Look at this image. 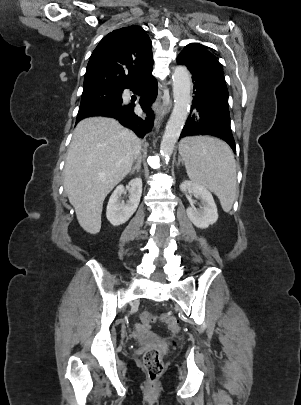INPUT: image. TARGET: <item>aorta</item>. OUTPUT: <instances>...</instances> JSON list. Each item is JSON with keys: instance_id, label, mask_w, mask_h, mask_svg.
<instances>
[{"instance_id": "1", "label": "aorta", "mask_w": 301, "mask_h": 405, "mask_svg": "<svg viewBox=\"0 0 301 405\" xmlns=\"http://www.w3.org/2000/svg\"><path fill=\"white\" fill-rule=\"evenodd\" d=\"M174 108L160 144L161 157L168 161L187 120L191 103V76L185 66H177L173 75Z\"/></svg>"}]
</instances>
